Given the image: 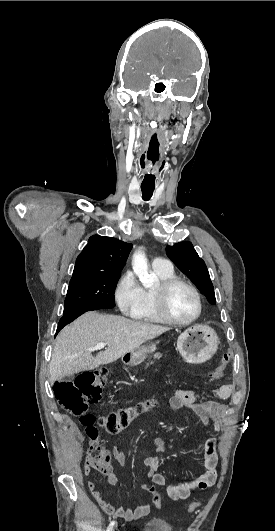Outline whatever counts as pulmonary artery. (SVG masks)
I'll use <instances>...</instances> for the list:
<instances>
[{"instance_id":"1","label":"pulmonary artery","mask_w":275,"mask_h":531,"mask_svg":"<svg viewBox=\"0 0 275 531\" xmlns=\"http://www.w3.org/2000/svg\"><path fill=\"white\" fill-rule=\"evenodd\" d=\"M153 272H170L171 263L170 261H160V258H157V261L152 263Z\"/></svg>"}]
</instances>
